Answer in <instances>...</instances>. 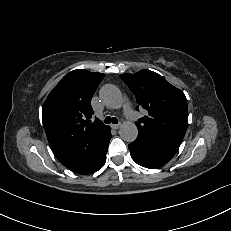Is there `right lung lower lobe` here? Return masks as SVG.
I'll return each instance as SVG.
<instances>
[{"mask_svg": "<svg viewBox=\"0 0 231 231\" xmlns=\"http://www.w3.org/2000/svg\"><path fill=\"white\" fill-rule=\"evenodd\" d=\"M111 139V129L108 128L100 135L89 140L85 148L72 166H65L79 174H90L103 167L106 161L108 144Z\"/></svg>", "mask_w": 231, "mask_h": 231, "instance_id": "obj_1", "label": "right lung lower lobe"}]
</instances>
